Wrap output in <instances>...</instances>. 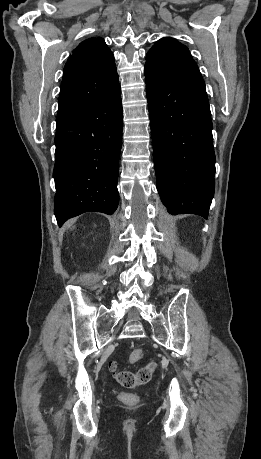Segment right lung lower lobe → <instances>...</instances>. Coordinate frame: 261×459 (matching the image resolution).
I'll return each instance as SVG.
<instances>
[{
	"label": "right lung lower lobe",
	"instance_id": "1",
	"mask_svg": "<svg viewBox=\"0 0 261 459\" xmlns=\"http://www.w3.org/2000/svg\"><path fill=\"white\" fill-rule=\"evenodd\" d=\"M121 89L57 120L54 213L61 226L87 211L113 214L118 207L122 139Z\"/></svg>",
	"mask_w": 261,
	"mask_h": 459
}]
</instances>
